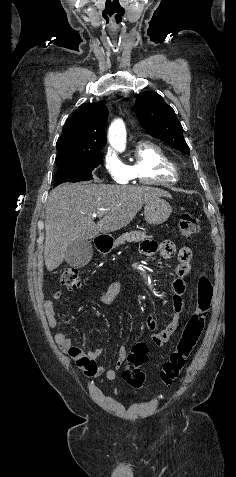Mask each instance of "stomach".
Returning a JSON list of instances; mask_svg holds the SVG:
<instances>
[{"mask_svg": "<svg viewBox=\"0 0 236 477\" xmlns=\"http://www.w3.org/2000/svg\"><path fill=\"white\" fill-rule=\"evenodd\" d=\"M171 212L172 208L170 204L164 199L157 198L146 203L144 207V218L148 224L159 225L169 218ZM114 243L110 244L108 250H102V252L106 253L109 251L115 246Z\"/></svg>", "mask_w": 236, "mask_h": 477, "instance_id": "1", "label": "stomach"}]
</instances>
